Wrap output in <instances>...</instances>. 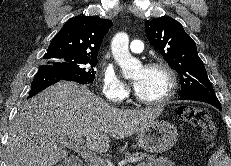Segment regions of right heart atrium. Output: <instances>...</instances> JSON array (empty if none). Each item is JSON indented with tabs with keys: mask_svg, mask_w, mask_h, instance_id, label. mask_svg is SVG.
I'll return each mask as SVG.
<instances>
[{
	"mask_svg": "<svg viewBox=\"0 0 231 166\" xmlns=\"http://www.w3.org/2000/svg\"><path fill=\"white\" fill-rule=\"evenodd\" d=\"M102 93L108 99L117 101L124 98L128 92L127 85L118 76L111 65H106L101 73Z\"/></svg>",
	"mask_w": 231,
	"mask_h": 166,
	"instance_id": "right-heart-atrium-1",
	"label": "right heart atrium"
}]
</instances>
